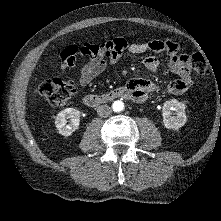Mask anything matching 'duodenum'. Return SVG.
Returning a JSON list of instances; mask_svg holds the SVG:
<instances>
[{"mask_svg": "<svg viewBox=\"0 0 221 221\" xmlns=\"http://www.w3.org/2000/svg\"><path fill=\"white\" fill-rule=\"evenodd\" d=\"M130 91L125 87H119L104 94H87L83 98V102L90 108H96L102 104L119 98H131Z\"/></svg>", "mask_w": 221, "mask_h": 221, "instance_id": "duodenum-1", "label": "duodenum"}]
</instances>
